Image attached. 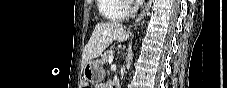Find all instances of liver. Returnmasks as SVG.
I'll return each mask as SVG.
<instances>
[{
    "mask_svg": "<svg viewBox=\"0 0 227 88\" xmlns=\"http://www.w3.org/2000/svg\"><path fill=\"white\" fill-rule=\"evenodd\" d=\"M129 34L123 26L116 22L96 24L93 33L83 50V64L98 57L114 41L121 43L127 40Z\"/></svg>",
    "mask_w": 227,
    "mask_h": 88,
    "instance_id": "liver-1",
    "label": "liver"
}]
</instances>
